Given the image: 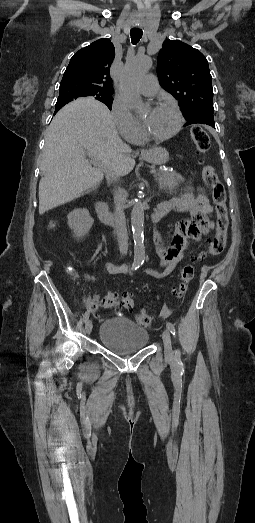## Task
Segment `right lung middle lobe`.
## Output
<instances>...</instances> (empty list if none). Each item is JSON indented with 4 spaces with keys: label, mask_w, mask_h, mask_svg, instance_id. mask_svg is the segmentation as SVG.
<instances>
[{
    "label": "right lung middle lobe",
    "mask_w": 255,
    "mask_h": 523,
    "mask_svg": "<svg viewBox=\"0 0 255 523\" xmlns=\"http://www.w3.org/2000/svg\"><path fill=\"white\" fill-rule=\"evenodd\" d=\"M92 96L96 100H99L103 102L105 105L108 106L109 109H111L113 98L112 95H98V94H88V93H79V92H69V91H60L59 97L57 101L61 102H70L73 99H76L78 97H87Z\"/></svg>",
    "instance_id": "right-lung-middle-lobe-1"
}]
</instances>
